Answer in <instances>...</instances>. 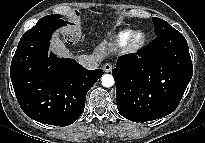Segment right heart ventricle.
<instances>
[{
    "label": "right heart ventricle",
    "instance_id": "e07e8e85",
    "mask_svg": "<svg viewBox=\"0 0 205 143\" xmlns=\"http://www.w3.org/2000/svg\"><path fill=\"white\" fill-rule=\"evenodd\" d=\"M132 34V30H123L119 32L114 38V45L122 47L128 43V40Z\"/></svg>",
    "mask_w": 205,
    "mask_h": 143
}]
</instances>
